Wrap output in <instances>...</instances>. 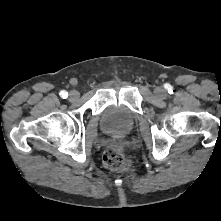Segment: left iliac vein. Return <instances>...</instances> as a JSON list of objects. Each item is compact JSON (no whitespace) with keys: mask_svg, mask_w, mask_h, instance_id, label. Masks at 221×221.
Segmentation results:
<instances>
[{"mask_svg":"<svg viewBox=\"0 0 221 221\" xmlns=\"http://www.w3.org/2000/svg\"><path fill=\"white\" fill-rule=\"evenodd\" d=\"M155 94H156L157 96H159V97H164V96H165V91H164L163 88L157 87V88L155 89Z\"/></svg>","mask_w":221,"mask_h":221,"instance_id":"1","label":"left iliac vein"}]
</instances>
